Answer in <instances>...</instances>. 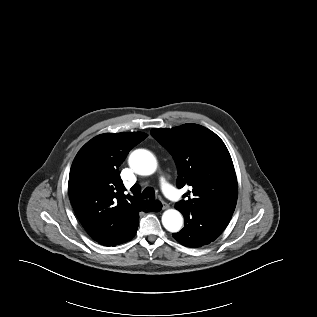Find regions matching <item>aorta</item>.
<instances>
[{"instance_id":"obj_1","label":"aorta","mask_w":317,"mask_h":317,"mask_svg":"<svg viewBox=\"0 0 317 317\" xmlns=\"http://www.w3.org/2000/svg\"><path fill=\"white\" fill-rule=\"evenodd\" d=\"M130 168L139 175H151L156 171L157 160L148 150L137 149L128 159ZM162 224L169 232H178L183 224V217L176 209H168L162 215Z\"/></svg>"}]
</instances>
